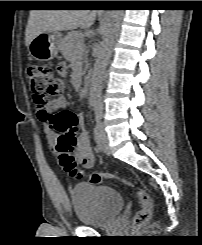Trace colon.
I'll list each match as a JSON object with an SVG mask.
<instances>
[{
    "label": "colon",
    "instance_id": "obj_1",
    "mask_svg": "<svg viewBox=\"0 0 202 245\" xmlns=\"http://www.w3.org/2000/svg\"><path fill=\"white\" fill-rule=\"evenodd\" d=\"M63 75L64 69L59 63L55 66L30 63L27 66V78L34 94L37 113L48 123L51 130L59 134L56 144L58 165L72 177L81 178L83 177V172L76 165L72 156V150L77 143L76 131L80 127V118L67 110L57 113L49 112L51 99L61 93ZM87 177L92 184H100L103 181L117 178L107 172L91 173ZM118 179L136 191L140 206L133 216L132 224L135 233L138 234L140 227L152 217L153 201L146 190L124 178Z\"/></svg>",
    "mask_w": 202,
    "mask_h": 245
}]
</instances>
